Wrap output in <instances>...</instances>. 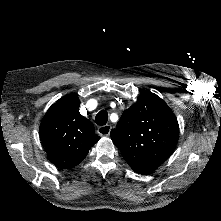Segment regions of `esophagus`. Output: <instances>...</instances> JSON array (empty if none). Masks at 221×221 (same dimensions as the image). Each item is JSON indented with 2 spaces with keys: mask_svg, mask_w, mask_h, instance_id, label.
<instances>
[{
  "mask_svg": "<svg viewBox=\"0 0 221 221\" xmlns=\"http://www.w3.org/2000/svg\"><path fill=\"white\" fill-rule=\"evenodd\" d=\"M111 129H112V126L108 124V125L98 127L97 132L102 137H108L110 135Z\"/></svg>",
  "mask_w": 221,
  "mask_h": 221,
  "instance_id": "obj_1",
  "label": "esophagus"
}]
</instances>
